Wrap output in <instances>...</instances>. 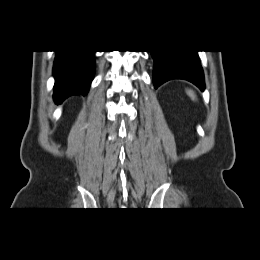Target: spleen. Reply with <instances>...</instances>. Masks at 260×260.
Returning <instances> with one entry per match:
<instances>
[{
    "label": "spleen",
    "instance_id": "3e777b00",
    "mask_svg": "<svg viewBox=\"0 0 260 260\" xmlns=\"http://www.w3.org/2000/svg\"><path fill=\"white\" fill-rule=\"evenodd\" d=\"M186 92H187V95H188L193 101L196 100V95H195L194 91H192V90H187Z\"/></svg>",
    "mask_w": 260,
    "mask_h": 260
}]
</instances>
